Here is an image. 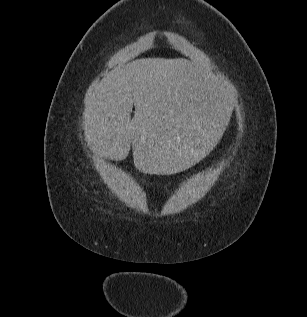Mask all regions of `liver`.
I'll list each match as a JSON object with an SVG mask.
<instances>
[{
  "mask_svg": "<svg viewBox=\"0 0 307 317\" xmlns=\"http://www.w3.org/2000/svg\"><path fill=\"white\" fill-rule=\"evenodd\" d=\"M227 85L187 59H137L89 87L83 127L92 148L133 162L144 175H184L222 142ZM133 105L135 115L131 120Z\"/></svg>",
  "mask_w": 307,
  "mask_h": 317,
  "instance_id": "6515ba94",
  "label": "liver"
}]
</instances>
